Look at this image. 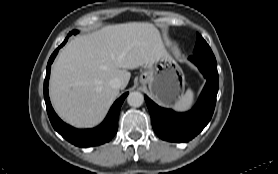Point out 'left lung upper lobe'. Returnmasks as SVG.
I'll list each match as a JSON object with an SVG mask.
<instances>
[{
	"label": "left lung upper lobe",
	"mask_w": 278,
	"mask_h": 174,
	"mask_svg": "<svg viewBox=\"0 0 278 174\" xmlns=\"http://www.w3.org/2000/svg\"><path fill=\"white\" fill-rule=\"evenodd\" d=\"M193 56L206 60L210 63L216 64L215 56L207 44V42L202 38V36H198L196 41V46L193 51Z\"/></svg>",
	"instance_id": "left-lung-upper-lobe-1"
}]
</instances>
